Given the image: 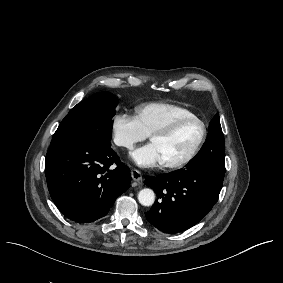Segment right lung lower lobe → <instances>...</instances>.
I'll return each mask as SVG.
<instances>
[{
  "label": "right lung lower lobe",
  "instance_id": "98d812e1",
  "mask_svg": "<svg viewBox=\"0 0 283 283\" xmlns=\"http://www.w3.org/2000/svg\"><path fill=\"white\" fill-rule=\"evenodd\" d=\"M45 174L58 209L80 223L105 216L131 181L129 167L110 146L86 140L52 141Z\"/></svg>",
  "mask_w": 283,
  "mask_h": 283
}]
</instances>
